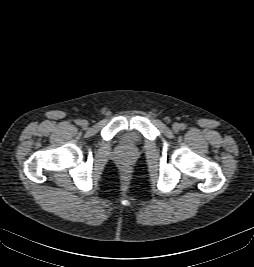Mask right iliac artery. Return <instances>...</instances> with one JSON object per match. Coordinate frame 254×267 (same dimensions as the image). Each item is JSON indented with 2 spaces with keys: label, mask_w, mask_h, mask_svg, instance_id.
I'll list each match as a JSON object with an SVG mask.
<instances>
[{
  "label": "right iliac artery",
  "mask_w": 254,
  "mask_h": 267,
  "mask_svg": "<svg viewBox=\"0 0 254 267\" xmlns=\"http://www.w3.org/2000/svg\"><path fill=\"white\" fill-rule=\"evenodd\" d=\"M81 120L80 119H77L76 121H75V123L77 124V125H81Z\"/></svg>",
  "instance_id": "obj_1"
}]
</instances>
